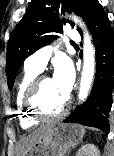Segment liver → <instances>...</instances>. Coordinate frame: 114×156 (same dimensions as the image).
I'll list each match as a JSON object with an SVG mask.
<instances>
[{"label": "liver", "mask_w": 114, "mask_h": 156, "mask_svg": "<svg viewBox=\"0 0 114 156\" xmlns=\"http://www.w3.org/2000/svg\"><path fill=\"white\" fill-rule=\"evenodd\" d=\"M52 125H41L31 133L23 136L16 146V156H26L31 147L42 137Z\"/></svg>", "instance_id": "liver-1"}]
</instances>
